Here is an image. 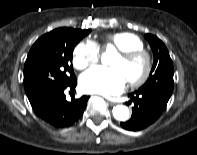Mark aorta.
<instances>
[{
  "mask_svg": "<svg viewBox=\"0 0 197 155\" xmlns=\"http://www.w3.org/2000/svg\"><path fill=\"white\" fill-rule=\"evenodd\" d=\"M112 55V50L108 49L102 54L101 61L103 64H107L110 56ZM113 116L118 121H126L129 118V109L124 105H117L112 110Z\"/></svg>",
  "mask_w": 197,
  "mask_h": 155,
  "instance_id": "obj_1",
  "label": "aorta"
}]
</instances>
